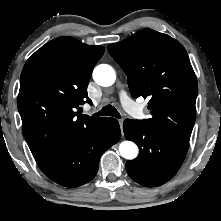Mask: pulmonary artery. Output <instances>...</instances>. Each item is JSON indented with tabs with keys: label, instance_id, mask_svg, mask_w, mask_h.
I'll return each mask as SVG.
<instances>
[{
	"label": "pulmonary artery",
	"instance_id": "1",
	"mask_svg": "<svg viewBox=\"0 0 221 221\" xmlns=\"http://www.w3.org/2000/svg\"><path fill=\"white\" fill-rule=\"evenodd\" d=\"M120 100L127 112H129L130 114L136 117L142 116L140 108L130 99V97L125 91L120 92Z\"/></svg>",
	"mask_w": 221,
	"mask_h": 221
}]
</instances>
